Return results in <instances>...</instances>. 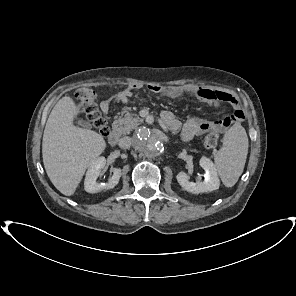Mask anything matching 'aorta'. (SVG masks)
Returning a JSON list of instances; mask_svg holds the SVG:
<instances>
[{
	"mask_svg": "<svg viewBox=\"0 0 296 296\" xmlns=\"http://www.w3.org/2000/svg\"><path fill=\"white\" fill-rule=\"evenodd\" d=\"M134 146L147 156H157L163 151L160 140L148 129L141 128L134 136Z\"/></svg>",
	"mask_w": 296,
	"mask_h": 296,
	"instance_id": "aorta-1",
	"label": "aorta"
}]
</instances>
